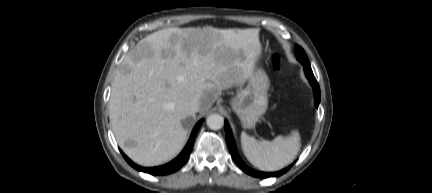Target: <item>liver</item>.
Returning <instances> with one entry per match:
<instances>
[{"instance_id":"6515ba94","label":"liver","mask_w":432,"mask_h":193,"mask_svg":"<svg viewBox=\"0 0 432 193\" xmlns=\"http://www.w3.org/2000/svg\"><path fill=\"white\" fill-rule=\"evenodd\" d=\"M261 52L258 29L165 28L130 49L116 72L110 121L124 153L142 166H157L184 147L195 119L222 90L243 86Z\"/></svg>"}]
</instances>
